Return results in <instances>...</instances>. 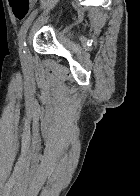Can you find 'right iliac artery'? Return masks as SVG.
<instances>
[{
	"label": "right iliac artery",
	"mask_w": 140,
	"mask_h": 196,
	"mask_svg": "<svg viewBox=\"0 0 140 196\" xmlns=\"http://www.w3.org/2000/svg\"><path fill=\"white\" fill-rule=\"evenodd\" d=\"M35 14H36V11H33L30 14L29 18L25 20V22L19 32V47H20L21 58H23V55L25 54V50H26V42H25L26 32H27V30L30 26V23L33 20Z\"/></svg>",
	"instance_id": "obj_1"
}]
</instances>
